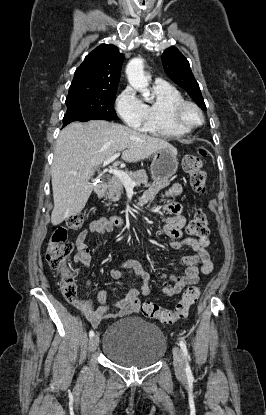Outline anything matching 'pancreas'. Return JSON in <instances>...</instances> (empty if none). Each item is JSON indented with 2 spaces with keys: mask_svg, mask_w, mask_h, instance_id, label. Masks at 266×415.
Returning a JSON list of instances; mask_svg holds the SVG:
<instances>
[{
  "mask_svg": "<svg viewBox=\"0 0 266 415\" xmlns=\"http://www.w3.org/2000/svg\"><path fill=\"white\" fill-rule=\"evenodd\" d=\"M126 173L133 181L137 182L138 185L142 183L145 186H149L148 176L144 170L136 172L127 171ZM122 193L123 184L117 176H114L108 181L103 196H105L108 200L117 201L120 199Z\"/></svg>",
  "mask_w": 266,
  "mask_h": 415,
  "instance_id": "cf45deb5",
  "label": "pancreas"
}]
</instances>
